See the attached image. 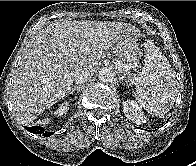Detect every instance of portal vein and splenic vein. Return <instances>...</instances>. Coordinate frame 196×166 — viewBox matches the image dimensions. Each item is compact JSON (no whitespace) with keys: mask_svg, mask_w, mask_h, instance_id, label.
<instances>
[{"mask_svg":"<svg viewBox=\"0 0 196 166\" xmlns=\"http://www.w3.org/2000/svg\"><path fill=\"white\" fill-rule=\"evenodd\" d=\"M124 71H128L131 69V66L130 65H126V64H122V65H119Z\"/></svg>","mask_w":196,"mask_h":166,"instance_id":"18ae733b","label":"portal vein and splenic vein"}]
</instances>
